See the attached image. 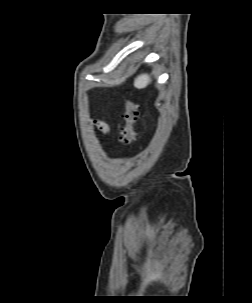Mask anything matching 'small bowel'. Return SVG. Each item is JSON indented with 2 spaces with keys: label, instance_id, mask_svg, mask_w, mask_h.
Instances as JSON below:
<instances>
[{
  "label": "small bowel",
  "instance_id": "obj_1",
  "mask_svg": "<svg viewBox=\"0 0 252 303\" xmlns=\"http://www.w3.org/2000/svg\"><path fill=\"white\" fill-rule=\"evenodd\" d=\"M96 126L100 129V131H102L103 133H108L109 132V127L108 125L99 122V121H95Z\"/></svg>",
  "mask_w": 252,
  "mask_h": 303
}]
</instances>
